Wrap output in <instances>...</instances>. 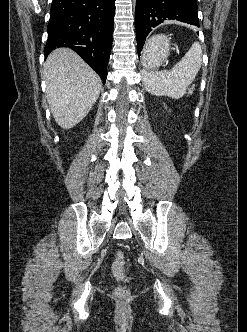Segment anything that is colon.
<instances>
[{
	"label": "colon",
	"mask_w": 247,
	"mask_h": 332,
	"mask_svg": "<svg viewBox=\"0 0 247 332\" xmlns=\"http://www.w3.org/2000/svg\"><path fill=\"white\" fill-rule=\"evenodd\" d=\"M126 263V257L123 251L118 250L115 253V258L112 264V271L115 278L119 281V285L114 289V295L121 300H126L130 296V290L125 285L124 268Z\"/></svg>",
	"instance_id": "1"
}]
</instances>
